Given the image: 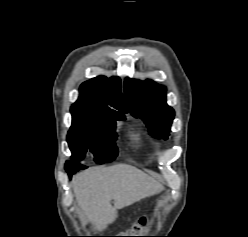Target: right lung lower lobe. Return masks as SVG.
<instances>
[{
  "instance_id": "obj_1",
  "label": "right lung lower lobe",
  "mask_w": 248,
  "mask_h": 237,
  "mask_svg": "<svg viewBox=\"0 0 248 237\" xmlns=\"http://www.w3.org/2000/svg\"><path fill=\"white\" fill-rule=\"evenodd\" d=\"M85 168H87V167L84 166V165H81L80 167L71 168V169H66V171H67V173L69 174V176L71 177L72 174L76 173L78 170L85 169Z\"/></svg>"
}]
</instances>
